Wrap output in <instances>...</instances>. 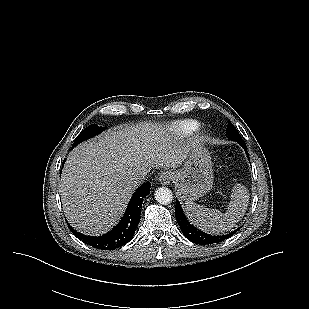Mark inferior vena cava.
<instances>
[{
  "label": "inferior vena cava",
  "mask_w": 309,
  "mask_h": 309,
  "mask_svg": "<svg viewBox=\"0 0 309 309\" xmlns=\"http://www.w3.org/2000/svg\"><path fill=\"white\" fill-rule=\"evenodd\" d=\"M147 171H139V172H136L132 175V181L136 184H140L146 177L147 175Z\"/></svg>",
  "instance_id": "obj_1"
}]
</instances>
